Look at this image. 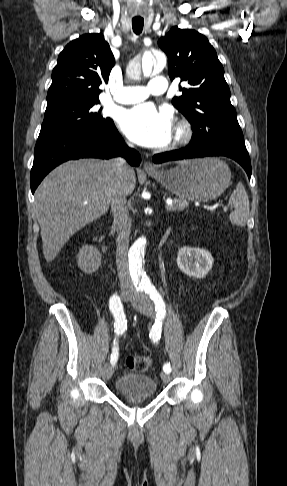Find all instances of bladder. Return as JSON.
Wrapping results in <instances>:
<instances>
[{
  "instance_id": "bladder-1",
  "label": "bladder",
  "mask_w": 287,
  "mask_h": 486,
  "mask_svg": "<svg viewBox=\"0 0 287 486\" xmlns=\"http://www.w3.org/2000/svg\"><path fill=\"white\" fill-rule=\"evenodd\" d=\"M114 387L118 393L126 396L149 397L157 391L155 379L147 374H123L116 379Z\"/></svg>"
}]
</instances>
